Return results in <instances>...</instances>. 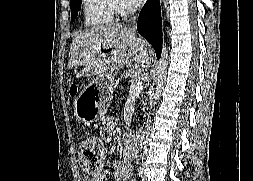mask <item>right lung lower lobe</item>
I'll return each mask as SVG.
<instances>
[{
    "label": "right lung lower lobe",
    "instance_id": "98d812e1",
    "mask_svg": "<svg viewBox=\"0 0 253 181\" xmlns=\"http://www.w3.org/2000/svg\"><path fill=\"white\" fill-rule=\"evenodd\" d=\"M137 29L151 43L159 59L162 51V21L159 0H147L139 14Z\"/></svg>",
    "mask_w": 253,
    "mask_h": 181
}]
</instances>
